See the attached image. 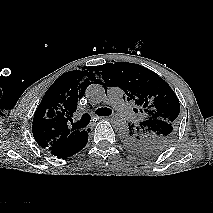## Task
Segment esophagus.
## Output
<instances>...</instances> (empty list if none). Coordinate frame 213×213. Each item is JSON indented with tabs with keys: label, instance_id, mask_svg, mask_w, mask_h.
<instances>
[{
	"label": "esophagus",
	"instance_id": "esophagus-1",
	"mask_svg": "<svg viewBox=\"0 0 213 213\" xmlns=\"http://www.w3.org/2000/svg\"><path fill=\"white\" fill-rule=\"evenodd\" d=\"M104 117L102 116H96L95 119L96 120H100V119H103ZM94 127V122H92L88 127H87V130H90V129H93Z\"/></svg>",
	"mask_w": 213,
	"mask_h": 213
}]
</instances>
